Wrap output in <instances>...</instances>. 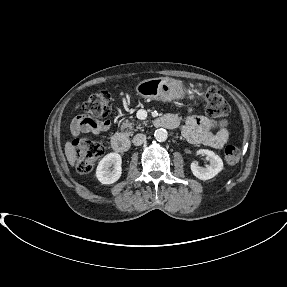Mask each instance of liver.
Returning a JSON list of instances; mask_svg holds the SVG:
<instances>
[{
	"label": "liver",
	"mask_w": 287,
	"mask_h": 287,
	"mask_svg": "<svg viewBox=\"0 0 287 287\" xmlns=\"http://www.w3.org/2000/svg\"><path fill=\"white\" fill-rule=\"evenodd\" d=\"M65 154L69 164L74 166L77 159V153L75 146H73L70 141L65 144Z\"/></svg>",
	"instance_id": "1"
}]
</instances>
